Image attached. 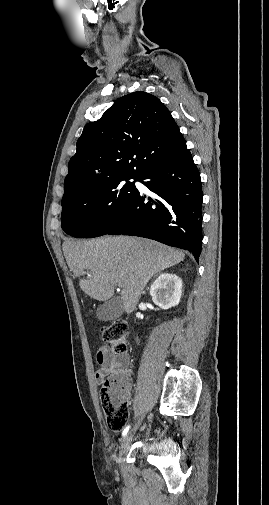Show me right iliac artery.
I'll use <instances>...</instances> for the list:
<instances>
[{
  "instance_id": "1",
  "label": "right iliac artery",
  "mask_w": 269,
  "mask_h": 505,
  "mask_svg": "<svg viewBox=\"0 0 269 505\" xmlns=\"http://www.w3.org/2000/svg\"><path fill=\"white\" fill-rule=\"evenodd\" d=\"M129 429H130V425H128V426H127V427L123 430V432H122V436H125V435L128 433Z\"/></svg>"
}]
</instances>
